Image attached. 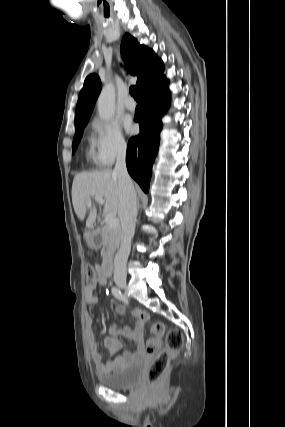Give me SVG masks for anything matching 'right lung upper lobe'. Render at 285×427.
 <instances>
[{
  "instance_id": "cb5924a9",
  "label": "right lung upper lobe",
  "mask_w": 285,
  "mask_h": 427,
  "mask_svg": "<svg viewBox=\"0 0 285 427\" xmlns=\"http://www.w3.org/2000/svg\"><path fill=\"white\" fill-rule=\"evenodd\" d=\"M121 53L130 73L138 77L136 84L139 90L150 79L163 71V62L153 50L140 45L128 33L122 39ZM100 90L99 77L96 74H90L85 79L79 94L75 113V129L87 124Z\"/></svg>"
}]
</instances>
